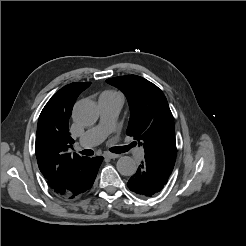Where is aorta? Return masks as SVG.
<instances>
[{
	"instance_id": "obj_1",
	"label": "aorta",
	"mask_w": 246,
	"mask_h": 246,
	"mask_svg": "<svg viewBox=\"0 0 246 246\" xmlns=\"http://www.w3.org/2000/svg\"><path fill=\"white\" fill-rule=\"evenodd\" d=\"M72 117L73 120L80 125H92L98 118L97 107L93 101L81 100L75 104ZM116 166L118 172L124 176H132L137 170V164L130 156L120 157Z\"/></svg>"
}]
</instances>
